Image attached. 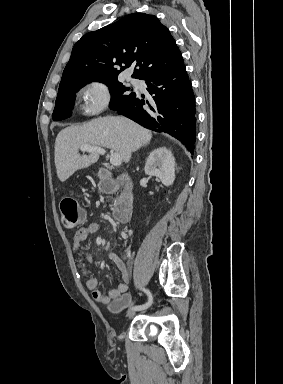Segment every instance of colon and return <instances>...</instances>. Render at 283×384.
Masks as SVG:
<instances>
[{"label": "colon", "mask_w": 283, "mask_h": 384, "mask_svg": "<svg viewBox=\"0 0 283 384\" xmlns=\"http://www.w3.org/2000/svg\"><path fill=\"white\" fill-rule=\"evenodd\" d=\"M112 182H104L102 189L106 192L114 190ZM61 221L67 230H72L79 226L84 220V214L79 207L77 200L74 197L68 196L62 199L60 203ZM131 302V296L127 293L121 295L119 298L112 301L109 309L112 312H120L127 308Z\"/></svg>", "instance_id": "5ec220e1"}]
</instances>
